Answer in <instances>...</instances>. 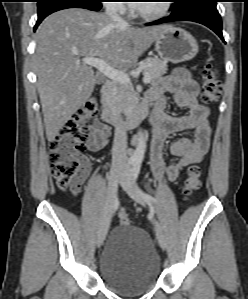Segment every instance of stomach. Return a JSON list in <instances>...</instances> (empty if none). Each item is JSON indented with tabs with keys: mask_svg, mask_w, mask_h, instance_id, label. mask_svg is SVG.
<instances>
[{
	"mask_svg": "<svg viewBox=\"0 0 248 299\" xmlns=\"http://www.w3.org/2000/svg\"><path fill=\"white\" fill-rule=\"evenodd\" d=\"M155 49L162 60L181 63L195 57L198 44L189 32L167 25L155 39Z\"/></svg>",
	"mask_w": 248,
	"mask_h": 299,
	"instance_id": "1",
	"label": "stomach"
}]
</instances>
